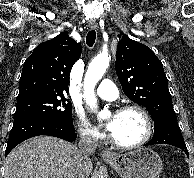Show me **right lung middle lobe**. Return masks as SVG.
<instances>
[{
  "instance_id": "obj_1",
  "label": "right lung middle lobe",
  "mask_w": 194,
  "mask_h": 178,
  "mask_svg": "<svg viewBox=\"0 0 194 178\" xmlns=\"http://www.w3.org/2000/svg\"><path fill=\"white\" fill-rule=\"evenodd\" d=\"M44 117L56 122H72V104L64 95L35 97L17 101L14 119Z\"/></svg>"
}]
</instances>
